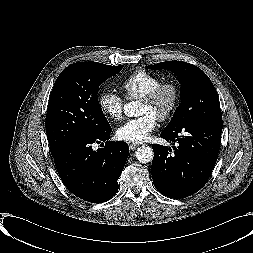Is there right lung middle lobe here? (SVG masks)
I'll list each match as a JSON object with an SVG mask.
<instances>
[{
  "label": "right lung middle lobe",
  "instance_id": "dd1d6c3e",
  "mask_svg": "<svg viewBox=\"0 0 253 253\" xmlns=\"http://www.w3.org/2000/svg\"><path fill=\"white\" fill-rule=\"evenodd\" d=\"M122 68V65L79 62L60 73L51 91L46 115L51 153L78 135L96 134L109 126L98 102L97 89Z\"/></svg>",
  "mask_w": 253,
  "mask_h": 253
}]
</instances>
